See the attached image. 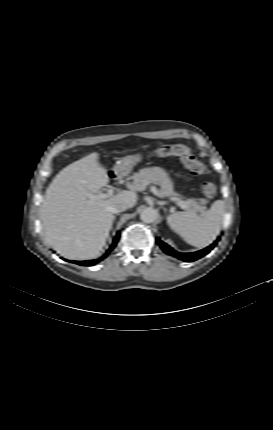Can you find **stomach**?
<instances>
[{
    "mask_svg": "<svg viewBox=\"0 0 273 430\" xmlns=\"http://www.w3.org/2000/svg\"><path fill=\"white\" fill-rule=\"evenodd\" d=\"M141 160V155H129L124 157L119 163L115 166V172L121 175H126L131 168Z\"/></svg>",
    "mask_w": 273,
    "mask_h": 430,
    "instance_id": "obj_1",
    "label": "stomach"
}]
</instances>
